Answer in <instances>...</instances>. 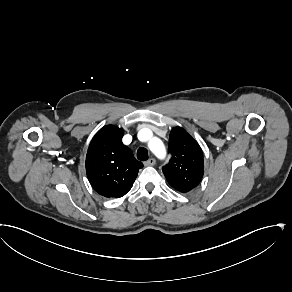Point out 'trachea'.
Instances as JSON below:
<instances>
[{
    "instance_id": "obj_1",
    "label": "trachea",
    "mask_w": 292,
    "mask_h": 292,
    "mask_svg": "<svg viewBox=\"0 0 292 292\" xmlns=\"http://www.w3.org/2000/svg\"><path fill=\"white\" fill-rule=\"evenodd\" d=\"M137 158L140 161H147L149 156H148V150L146 148L140 147L137 150Z\"/></svg>"
}]
</instances>
